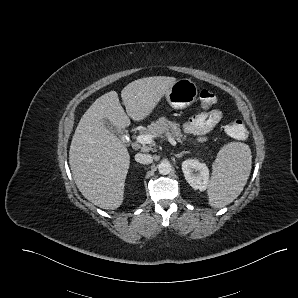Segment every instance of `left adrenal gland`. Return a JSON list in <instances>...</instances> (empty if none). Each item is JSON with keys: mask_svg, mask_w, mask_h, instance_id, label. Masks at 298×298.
<instances>
[{"mask_svg": "<svg viewBox=\"0 0 298 298\" xmlns=\"http://www.w3.org/2000/svg\"><path fill=\"white\" fill-rule=\"evenodd\" d=\"M189 151H181L180 153H176L175 157L177 158H181L184 154H189Z\"/></svg>", "mask_w": 298, "mask_h": 298, "instance_id": "left-adrenal-gland-1", "label": "left adrenal gland"}]
</instances>
